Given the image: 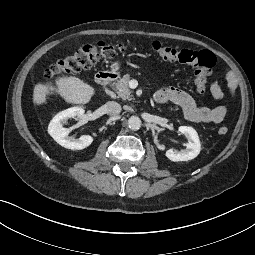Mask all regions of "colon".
I'll return each mask as SVG.
<instances>
[{
    "label": "colon",
    "mask_w": 255,
    "mask_h": 255,
    "mask_svg": "<svg viewBox=\"0 0 255 255\" xmlns=\"http://www.w3.org/2000/svg\"><path fill=\"white\" fill-rule=\"evenodd\" d=\"M129 48V44H111L103 41L83 45L72 55L57 61L47 69L45 78L53 81L63 76L88 69L98 61L124 53ZM152 49L164 61L193 66L195 69V87L200 94L205 93L207 89V76L216 61L213 53L207 50L193 51L188 49H175L159 41L152 43ZM227 132L228 128L226 126H221L218 129L220 135H225Z\"/></svg>",
    "instance_id": "5ec220e1"
}]
</instances>
